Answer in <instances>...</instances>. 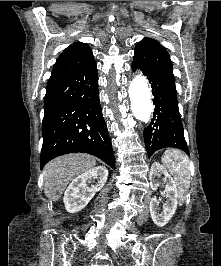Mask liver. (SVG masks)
<instances>
[{
    "label": "liver",
    "mask_w": 221,
    "mask_h": 266,
    "mask_svg": "<svg viewBox=\"0 0 221 266\" xmlns=\"http://www.w3.org/2000/svg\"><path fill=\"white\" fill-rule=\"evenodd\" d=\"M95 165V157L83 153L68 154L50 161L43 171L46 197L58 201L70 181Z\"/></svg>",
    "instance_id": "liver-1"
}]
</instances>
